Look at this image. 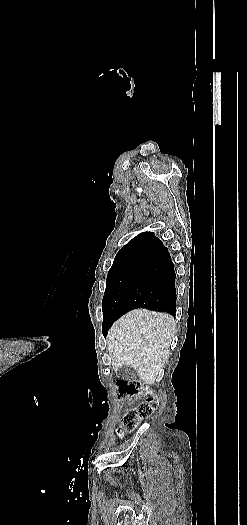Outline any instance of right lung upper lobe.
I'll return each mask as SVG.
<instances>
[{
  "instance_id": "1",
  "label": "right lung upper lobe",
  "mask_w": 247,
  "mask_h": 525,
  "mask_svg": "<svg viewBox=\"0 0 247 525\" xmlns=\"http://www.w3.org/2000/svg\"><path fill=\"white\" fill-rule=\"evenodd\" d=\"M166 249L153 232L141 233L119 250L110 271L136 267L146 259L160 255Z\"/></svg>"
}]
</instances>
